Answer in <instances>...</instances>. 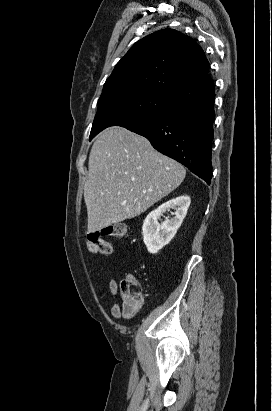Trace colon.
<instances>
[{
  "label": "colon",
  "mask_w": 272,
  "mask_h": 411,
  "mask_svg": "<svg viewBox=\"0 0 272 411\" xmlns=\"http://www.w3.org/2000/svg\"><path fill=\"white\" fill-rule=\"evenodd\" d=\"M127 225L123 222H115L104 226L100 231L91 232L87 236V247L93 253L108 255L112 253V244L108 238L125 236ZM141 286L133 275H127L122 279L119 293L122 300V312L127 318L132 317L138 311L141 303Z\"/></svg>",
  "instance_id": "1"
}]
</instances>
